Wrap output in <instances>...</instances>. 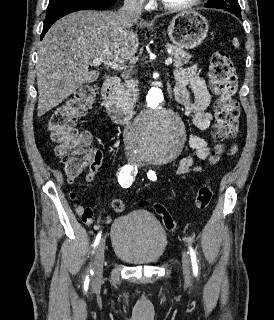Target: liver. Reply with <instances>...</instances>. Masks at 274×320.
<instances>
[{
	"label": "liver",
	"mask_w": 274,
	"mask_h": 320,
	"mask_svg": "<svg viewBox=\"0 0 274 320\" xmlns=\"http://www.w3.org/2000/svg\"><path fill=\"white\" fill-rule=\"evenodd\" d=\"M138 20L132 26H148ZM138 42L135 32L121 26L118 12L82 10L55 22L38 50L37 116H44L83 84L98 80L99 70H88L94 58L124 64L138 52Z\"/></svg>",
	"instance_id": "1"
}]
</instances>
